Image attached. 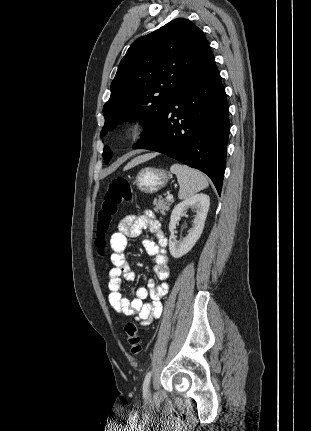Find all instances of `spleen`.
<instances>
[{"mask_svg":"<svg viewBox=\"0 0 311 431\" xmlns=\"http://www.w3.org/2000/svg\"><path fill=\"white\" fill-rule=\"evenodd\" d=\"M170 172L177 176V182L180 186L178 194L179 200H187V198H191V196H194V194L201 192V190L209 186L204 174H201L198 170H193V168H188V166L173 164L170 168Z\"/></svg>","mask_w":311,"mask_h":431,"instance_id":"obj_1","label":"spleen"}]
</instances>
